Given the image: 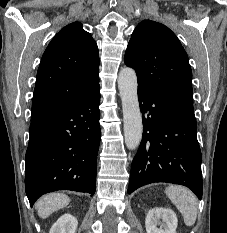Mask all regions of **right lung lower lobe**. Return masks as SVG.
Returning a JSON list of instances; mask_svg holds the SVG:
<instances>
[{
	"mask_svg": "<svg viewBox=\"0 0 227 233\" xmlns=\"http://www.w3.org/2000/svg\"><path fill=\"white\" fill-rule=\"evenodd\" d=\"M100 88L31 121L25 157V190L30 205L57 190H96L100 144Z\"/></svg>",
	"mask_w": 227,
	"mask_h": 233,
	"instance_id": "98d812e1",
	"label": "right lung lower lobe"
}]
</instances>
